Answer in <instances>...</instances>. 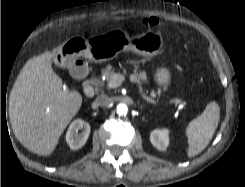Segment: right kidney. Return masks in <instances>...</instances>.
<instances>
[{"label": "right kidney", "instance_id": "obj_1", "mask_svg": "<svg viewBox=\"0 0 245 187\" xmlns=\"http://www.w3.org/2000/svg\"><path fill=\"white\" fill-rule=\"evenodd\" d=\"M79 129L82 131L78 133ZM90 134V125L81 119L74 120L66 133V141L72 150L80 149L87 141Z\"/></svg>", "mask_w": 245, "mask_h": 187}]
</instances>
